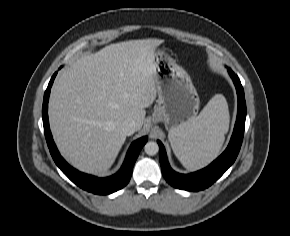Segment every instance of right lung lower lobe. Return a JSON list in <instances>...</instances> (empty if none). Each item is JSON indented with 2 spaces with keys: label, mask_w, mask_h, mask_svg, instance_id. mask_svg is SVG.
<instances>
[{
  "label": "right lung lower lobe",
  "mask_w": 290,
  "mask_h": 236,
  "mask_svg": "<svg viewBox=\"0 0 290 236\" xmlns=\"http://www.w3.org/2000/svg\"><path fill=\"white\" fill-rule=\"evenodd\" d=\"M57 73H55L45 91L43 107H42V118H43V126L45 138L47 141V145L49 147L51 156L57 166L62 170V172L76 185L81 187L82 189L99 194L106 195L111 194L117 190L123 188L130 180L132 175V170L134 163L139 155L140 150L147 142V137H142L130 146L125 161L121 167V169L114 174L113 176L107 178H97L95 176H91L88 174H84L82 172L77 171L72 168L60 155L50 132L49 121H48V100L50 95V88L53 84L54 78Z\"/></svg>",
  "instance_id": "obj_1"
}]
</instances>
